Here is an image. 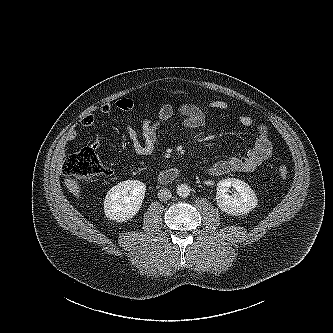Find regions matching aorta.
<instances>
[{
  "mask_svg": "<svg viewBox=\"0 0 333 333\" xmlns=\"http://www.w3.org/2000/svg\"><path fill=\"white\" fill-rule=\"evenodd\" d=\"M177 194L180 197H188L190 195V187L187 184H180L176 189Z\"/></svg>",
  "mask_w": 333,
  "mask_h": 333,
  "instance_id": "1",
  "label": "aorta"
}]
</instances>
